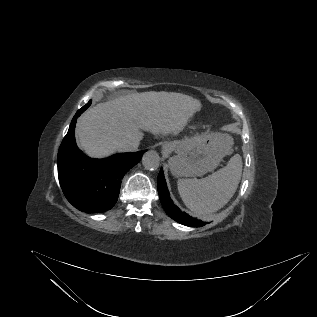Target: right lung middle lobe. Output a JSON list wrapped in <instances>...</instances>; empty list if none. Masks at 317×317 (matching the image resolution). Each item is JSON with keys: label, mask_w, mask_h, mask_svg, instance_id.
Here are the masks:
<instances>
[{"label": "right lung middle lobe", "mask_w": 317, "mask_h": 317, "mask_svg": "<svg viewBox=\"0 0 317 317\" xmlns=\"http://www.w3.org/2000/svg\"><path fill=\"white\" fill-rule=\"evenodd\" d=\"M90 104H91V101H89L85 106H83L82 108H84V110L85 109H87L89 106H90Z\"/></svg>", "instance_id": "obj_1"}]
</instances>
